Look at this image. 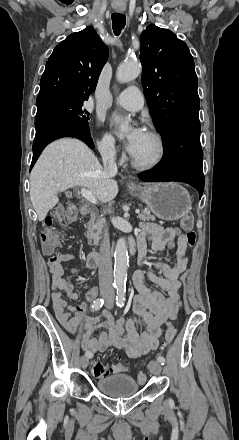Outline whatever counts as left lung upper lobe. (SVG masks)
Masks as SVG:
<instances>
[{"instance_id": "left-lung-upper-lobe-1", "label": "left lung upper lobe", "mask_w": 239, "mask_h": 440, "mask_svg": "<svg viewBox=\"0 0 239 440\" xmlns=\"http://www.w3.org/2000/svg\"><path fill=\"white\" fill-rule=\"evenodd\" d=\"M142 85L156 129L199 121L198 80L189 48L167 29L150 25L140 37Z\"/></svg>"}]
</instances>
